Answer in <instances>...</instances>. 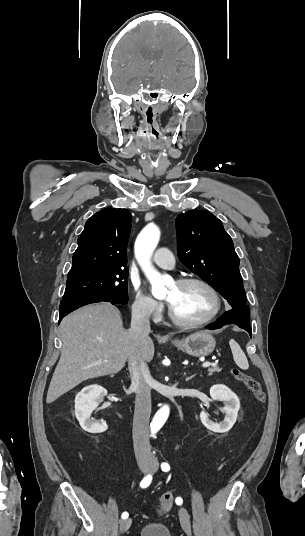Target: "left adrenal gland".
Returning a JSON list of instances; mask_svg holds the SVG:
<instances>
[{
  "label": "left adrenal gland",
  "instance_id": "1",
  "mask_svg": "<svg viewBox=\"0 0 305 536\" xmlns=\"http://www.w3.org/2000/svg\"><path fill=\"white\" fill-rule=\"evenodd\" d=\"M192 378H194V376H190V378H186V382L187 380H192Z\"/></svg>",
  "mask_w": 305,
  "mask_h": 536
}]
</instances>
